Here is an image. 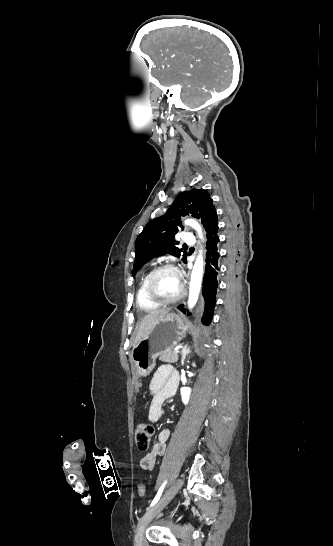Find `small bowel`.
I'll return each mask as SVG.
<instances>
[{"instance_id":"1","label":"small bowel","mask_w":333,"mask_h":546,"mask_svg":"<svg viewBox=\"0 0 333 546\" xmlns=\"http://www.w3.org/2000/svg\"><path fill=\"white\" fill-rule=\"evenodd\" d=\"M178 384L179 375L169 365L159 367L154 373L148 388L151 397L148 411V419L150 422L155 423L161 418L164 402L175 394ZM169 437V429H162L159 431L157 441L153 445L152 450L140 459V467L142 469H153L157 458L165 454Z\"/></svg>"}]
</instances>
